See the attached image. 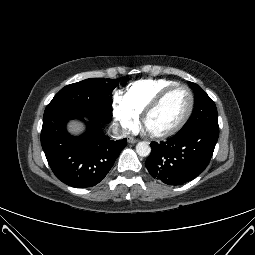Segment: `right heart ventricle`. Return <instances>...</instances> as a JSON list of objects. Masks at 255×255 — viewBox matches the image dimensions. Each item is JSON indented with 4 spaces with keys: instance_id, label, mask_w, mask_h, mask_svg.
Returning <instances> with one entry per match:
<instances>
[{
    "instance_id": "obj_1",
    "label": "right heart ventricle",
    "mask_w": 255,
    "mask_h": 255,
    "mask_svg": "<svg viewBox=\"0 0 255 255\" xmlns=\"http://www.w3.org/2000/svg\"><path fill=\"white\" fill-rule=\"evenodd\" d=\"M175 84L164 79L137 81L126 87L121 98L139 115L161 91Z\"/></svg>"
}]
</instances>
